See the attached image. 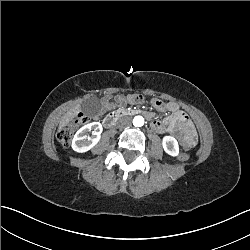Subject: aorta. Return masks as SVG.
<instances>
[{"label": "aorta", "mask_w": 250, "mask_h": 250, "mask_svg": "<svg viewBox=\"0 0 250 250\" xmlns=\"http://www.w3.org/2000/svg\"><path fill=\"white\" fill-rule=\"evenodd\" d=\"M144 123V120L143 119H139V122L138 123ZM135 124V123H134Z\"/></svg>", "instance_id": "obj_1"}]
</instances>
